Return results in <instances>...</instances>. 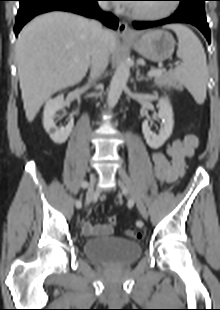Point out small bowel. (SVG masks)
<instances>
[{"label": "small bowel", "mask_w": 220, "mask_h": 310, "mask_svg": "<svg viewBox=\"0 0 220 310\" xmlns=\"http://www.w3.org/2000/svg\"><path fill=\"white\" fill-rule=\"evenodd\" d=\"M198 145L197 136L187 134L181 139L173 140L167 146L165 153L153 152L151 160L157 180L162 183L178 184L185 173L187 160L192 157ZM82 232L86 236L109 235L112 233V228L107 225H93L88 220H84Z\"/></svg>", "instance_id": "obj_1"}]
</instances>
